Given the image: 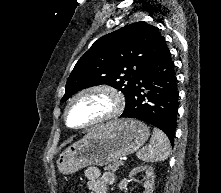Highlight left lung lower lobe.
<instances>
[{
	"label": "left lung lower lobe",
	"mask_w": 221,
	"mask_h": 193,
	"mask_svg": "<svg viewBox=\"0 0 221 193\" xmlns=\"http://www.w3.org/2000/svg\"><path fill=\"white\" fill-rule=\"evenodd\" d=\"M178 97L175 66L166 46L135 79L121 117L135 118L154 125L165 132L174 145Z\"/></svg>",
	"instance_id": "0a47b994"
}]
</instances>
